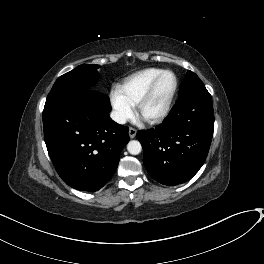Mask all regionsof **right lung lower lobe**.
Here are the masks:
<instances>
[{
	"label": "right lung lower lobe",
	"mask_w": 264,
	"mask_h": 264,
	"mask_svg": "<svg viewBox=\"0 0 264 264\" xmlns=\"http://www.w3.org/2000/svg\"><path fill=\"white\" fill-rule=\"evenodd\" d=\"M107 94L85 90L44 108V140L51 161L70 187L97 191L113 176L129 142L128 127L109 117Z\"/></svg>",
	"instance_id": "obj_1"
}]
</instances>
